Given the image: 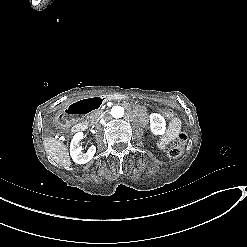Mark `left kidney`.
Segmentation results:
<instances>
[{
    "instance_id": "1",
    "label": "left kidney",
    "mask_w": 247,
    "mask_h": 247,
    "mask_svg": "<svg viewBox=\"0 0 247 247\" xmlns=\"http://www.w3.org/2000/svg\"><path fill=\"white\" fill-rule=\"evenodd\" d=\"M150 129H151V133L153 134L154 137H159L165 134L166 132V123L164 118L158 114V113H152L150 115ZM156 122V123H155ZM155 125H160L161 129H156Z\"/></svg>"
}]
</instances>
